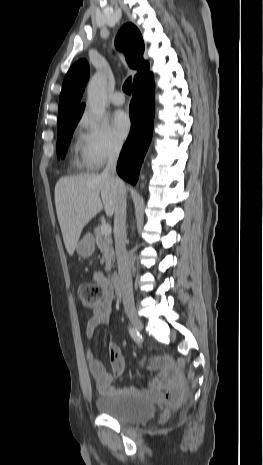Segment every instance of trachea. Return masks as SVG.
<instances>
[{
    "instance_id": "1",
    "label": "trachea",
    "mask_w": 263,
    "mask_h": 465,
    "mask_svg": "<svg viewBox=\"0 0 263 465\" xmlns=\"http://www.w3.org/2000/svg\"><path fill=\"white\" fill-rule=\"evenodd\" d=\"M131 85H132V77H129L123 85V91L126 94H131Z\"/></svg>"
}]
</instances>
